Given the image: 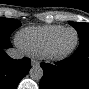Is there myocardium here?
Here are the masks:
<instances>
[{"label": "myocardium", "mask_w": 89, "mask_h": 89, "mask_svg": "<svg viewBox=\"0 0 89 89\" xmlns=\"http://www.w3.org/2000/svg\"><path fill=\"white\" fill-rule=\"evenodd\" d=\"M65 31H72L75 34V40L73 42V44L71 45L70 48H68L67 50L60 52V53H55L52 51V45L53 42ZM79 42V34L78 31L73 28V27H63L61 30H59L58 32H56L47 42L45 48H44V53L43 56L44 58L48 59V60H62L66 57H68L70 54H72L74 52V50L76 49L77 45Z\"/></svg>", "instance_id": "f54148a6"}]
</instances>
